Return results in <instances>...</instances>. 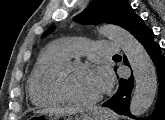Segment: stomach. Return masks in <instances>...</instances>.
I'll list each match as a JSON object with an SVG mask.
<instances>
[{
	"label": "stomach",
	"instance_id": "obj_1",
	"mask_svg": "<svg viewBox=\"0 0 165 120\" xmlns=\"http://www.w3.org/2000/svg\"><path fill=\"white\" fill-rule=\"evenodd\" d=\"M60 117H62L64 120H118L112 111L100 107L81 109L76 114H74V116L71 114L40 112L34 114L30 119L58 120Z\"/></svg>",
	"mask_w": 165,
	"mask_h": 120
}]
</instances>
